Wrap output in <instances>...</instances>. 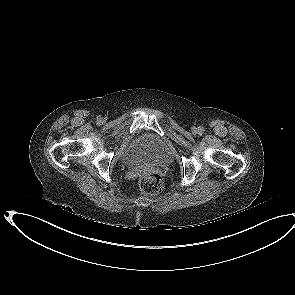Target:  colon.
Listing matches in <instances>:
<instances>
[{
    "label": "colon",
    "mask_w": 295,
    "mask_h": 295,
    "mask_svg": "<svg viewBox=\"0 0 295 295\" xmlns=\"http://www.w3.org/2000/svg\"><path fill=\"white\" fill-rule=\"evenodd\" d=\"M139 188L144 194L156 195L162 191L163 180L154 172H143L139 178Z\"/></svg>",
    "instance_id": "obj_1"
}]
</instances>
